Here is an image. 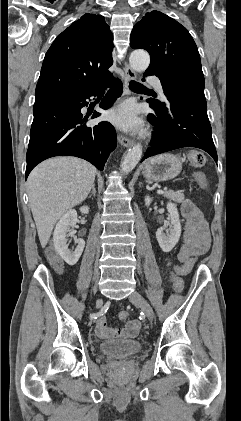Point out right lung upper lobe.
<instances>
[{"mask_svg": "<svg viewBox=\"0 0 241 421\" xmlns=\"http://www.w3.org/2000/svg\"><path fill=\"white\" fill-rule=\"evenodd\" d=\"M112 33L104 17L85 14L54 40L36 86L35 101L91 88L111 76Z\"/></svg>", "mask_w": 241, "mask_h": 421, "instance_id": "1", "label": "right lung upper lobe"}]
</instances>
